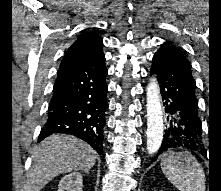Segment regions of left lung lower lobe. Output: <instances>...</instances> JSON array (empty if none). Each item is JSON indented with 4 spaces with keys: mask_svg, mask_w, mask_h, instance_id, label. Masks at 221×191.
Returning <instances> with one entry per match:
<instances>
[{
    "mask_svg": "<svg viewBox=\"0 0 221 191\" xmlns=\"http://www.w3.org/2000/svg\"><path fill=\"white\" fill-rule=\"evenodd\" d=\"M151 73L157 76L167 116V128L157 154L175 148L197 151L204 155L202 123L198 115L195 80L191 64L175 45L165 42L155 53Z\"/></svg>",
    "mask_w": 221,
    "mask_h": 191,
    "instance_id": "1",
    "label": "left lung lower lobe"
}]
</instances>
